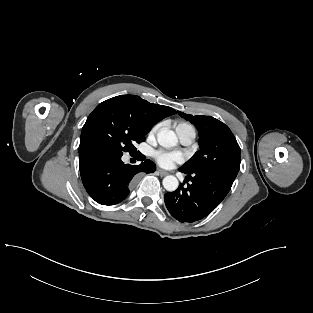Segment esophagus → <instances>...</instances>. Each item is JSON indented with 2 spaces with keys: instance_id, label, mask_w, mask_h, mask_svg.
Returning a JSON list of instances; mask_svg holds the SVG:
<instances>
[{
  "instance_id": "34e87169",
  "label": "esophagus",
  "mask_w": 313,
  "mask_h": 313,
  "mask_svg": "<svg viewBox=\"0 0 313 313\" xmlns=\"http://www.w3.org/2000/svg\"><path fill=\"white\" fill-rule=\"evenodd\" d=\"M157 173L160 175V176H166L168 175L169 173L164 171V170H161V169H157Z\"/></svg>"
}]
</instances>
